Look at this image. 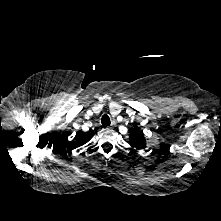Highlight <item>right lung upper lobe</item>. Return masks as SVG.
Here are the masks:
<instances>
[{
  "instance_id": "obj_1",
  "label": "right lung upper lobe",
  "mask_w": 221,
  "mask_h": 221,
  "mask_svg": "<svg viewBox=\"0 0 221 221\" xmlns=\"http://www.w3.org/2000/svg\"><path fill=\"white\" fill-rule=\"evenodd\" d=\"M76 140H77V144L82 145L83 141L86 140V136L85 135H76Z\"/></svg>"
}]
</instances>
